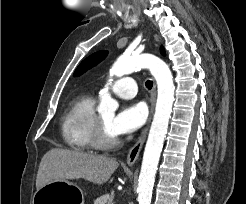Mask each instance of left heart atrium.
<instances>
[{
  "label": "left heart atrium",
  "mask_w": 246,
  "mask_h": 204,
  "mask_svg": "<svg viewBox=\"0 0 246 204\" xmlns=\"http://www.w3.org/2000/svg\"><path fill=\"white\" fill-rule=\"evenodd\" d=\"M147 110L143 103L124 106L113 118L111 128L118 135L128 134L139 129L146 121Z\"/></svg>",
  "instance_id": "left-heart-atrium-1"
}]
</instances>
